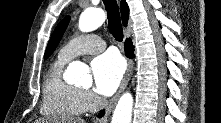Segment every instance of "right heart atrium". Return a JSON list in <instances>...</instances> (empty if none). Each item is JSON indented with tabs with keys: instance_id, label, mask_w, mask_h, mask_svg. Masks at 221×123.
<instances>
[{
	"instance_id": "d8ad5b80",
	"label": "right heart atrium",
	"mask_w": 221,
	"mask_h": 123,
	"mask_svg": "<svg viewBox=\"0 0 221 123\" xmlns=\"http://www.w3.org/2000/svg\"><path fill=\"white\" fill-rule=\"evenodd\" d=\"M82 97L86 110H92L96 107L98 100L97 97L90 91H82Z\"/></svg>"
}]
</instances>
